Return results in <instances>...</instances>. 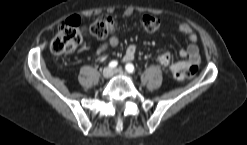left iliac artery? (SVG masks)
Wrapping results in <instances>:
<instances>
[{
	"mask_svg": "<svg viewBox=\"0 0 247 145\" xmlns=\"http://www.w3.org/2000/svg\"><path fill=\"white\" fill-rule=\"evenodd\" d=\"M125 69L128 73H133L134 72V66L131 63L126 64Z\"/></svg>",
	"mask_w": 247,
	"mask_h": 145,
	"instance_id": "obj_1",
	"label": "left iliac artery"
}]
</instances>
